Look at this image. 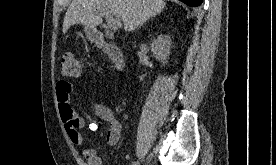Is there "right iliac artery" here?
<instances>
[{"label":"right iliac artery","instance_id":"82829eb1","mask_svg":"<svg viewBox=\"0 0 276 165\" xmlns=\"http://www.w3.org/2000/svg\"><path fill=\"white\" fill-rule=\"evenodd\" d=\"M133 165H139L138 162H134Z\"/></svg>","mask_w":276,"mask_h":165}]
</instances>
